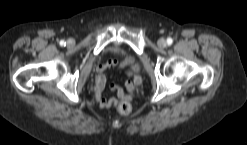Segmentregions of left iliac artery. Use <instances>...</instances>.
<instances>
[{"label": "left iliac artery", "mask_w": 247, "mask_h": 145, "mask_svg": "<svg viewBox=\"0 0 247 145\" xmlns=\"http://www.w3.org/2000/svg\"><path fill=\"white\" fill-rule=\"evenodd\" d=\"M167 43H168V45H171L173 43V39L172 38H168L167 39Z\"/></svg>", "instance_id": "obj_1"}]
</instances>
